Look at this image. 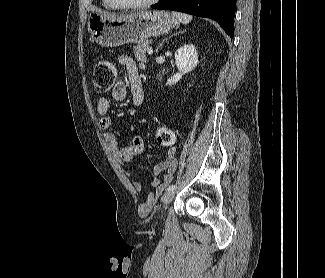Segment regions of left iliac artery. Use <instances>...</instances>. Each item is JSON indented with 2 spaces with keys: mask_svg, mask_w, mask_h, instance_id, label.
<instances>
[{
  "mask_svg": "<svg viewBox=\"0 0 325 278\" xmlns=\"http://www.w3.org/2000/svg\"><path fill=\"white\" fill-rule=\"evenodd\" d=\"M176 189V185H170L167 190H175Z\"/></svg>",
  "mask_w": 325,
  "mask_h": 278,
  "instance_id": "1",
  "label": "left iliac artery"
}]
</instances>
